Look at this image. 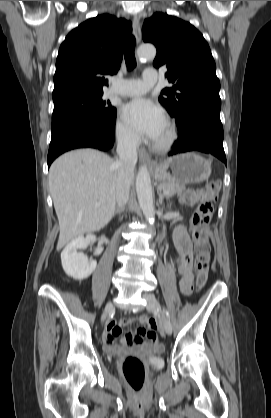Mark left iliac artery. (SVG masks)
<instances>
[{
	"mask_svg": "<svg viewBox=\"0 0 271 418\" xmlns=\"http://www.w3.org/2000/svg\"><path fill=\"white\" fill-rule=\"evenodd\" d=\"M165 313H166V316L170 319V318H171V316H170L169 311L165 309Z\"/></svg>",
	"mask_w": 271,
	"mask_h": 418,
	"instance_id": "left-iliac-artery-1",
	"label": "left iliac artery"
}]
</instances>
